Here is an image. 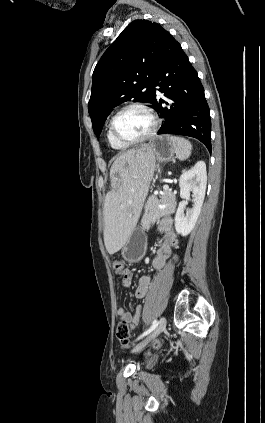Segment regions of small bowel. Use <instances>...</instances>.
I'll return each instance as SVG.
<instances>
[{"label":"small bowel","mask_w":265,"mask_h":423,"mask_svg":"<svg viewBox=\"0 0 265 423\" xmlns=\"http://www.w3.org/2000/svg\"><path fill=\"white\" fill-rule=\"evenodd\" d=\"M159 233L161 234L162 241L156 256L152 260V266L156 270L162 269L169 259L174 258L173 249L177 246L178 239L173 229V221L170 217L163 218L158 226ZM122 279V286L127 288L132 281V272L130 269L124 267L122 271H116ZM150 286V278L142 276L139 278L138 285L135 290L137 299H144ZM142 313V307L137 306L133 314L125 311L124 309L117 310V317L120 321L128 323L131 327H136L139 317Z\"/></svg>","instance_id":"c3829d8e"}]
</instances>
